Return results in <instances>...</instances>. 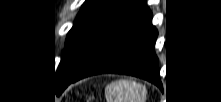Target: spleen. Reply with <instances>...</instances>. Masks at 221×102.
I'll return each instance as SVG.
<instances>
[{"label":"spleen","mask_w":221,"mask_h":102,"mask_svg":"<svg viewBox=\"0 0 221 102\" xmlns=\"http://www.w3.org/2000/svg\"><path fill=\"white\" fill-rule=\"evenodd\" d=\"M107 102H145L146 89L135 81L117 80L106 89Z\"/></svg>","instance_id":"spleen-1"}]
</instances>
